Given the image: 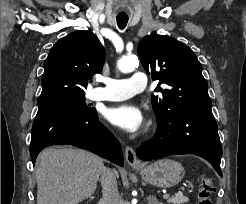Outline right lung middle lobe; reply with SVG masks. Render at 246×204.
Here are the masks:
<instances>
[{
    "mask_svg": "<svg viewBox=\"0 0 246 204\" xmlns=\"http://www.w3.org/2000/svg\"><path fill=\"white\" fill-rule=\"evenodd\" d=\"M46 103H53V104H63L73 106L77 110L85 113H90L95 110V108L90 107L85 103V92L82 93H67L62 94L57 97L51 98L45 101H38V104H46Z\"/></svg>",
    "mask_w": 246,
    "mask_h": 204,
    "instance_id": "obj_1",
    "label": "right lung middle lobe"
}]
</instances>
